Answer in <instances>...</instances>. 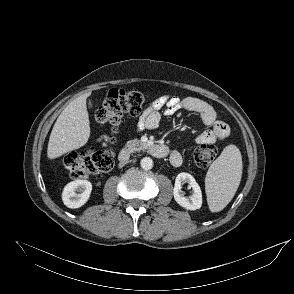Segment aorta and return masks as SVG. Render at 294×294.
Listing matches in <instances>:
<instances>
[{"label":"aorta","instance_id":"obj_1","mask_svg":"<svg viewBox=\"0 0 294 294\" xmlns=\"http://www.w3.org/2000/svg\"><path fill=\"white\" fill-rule=\"evenodd\" d=\"M140 164L144 170H150L153 167V160L150 157H144Z\"/></svg>","mask_w":294,"mask_h":294}]
</instances>
